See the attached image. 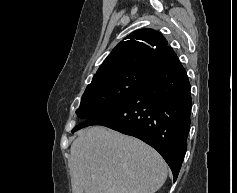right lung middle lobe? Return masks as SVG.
<instances>
[{"instance_id":"right-lung-middle-lobe-1","label":"right lung middle lobe","mask_w":237,"mask_h":193,"mask_svg":"<svg viewBox=\"0 0 237 193\" xmlns=\"http://www.w3.org/2000/svg\"><path fill=\"white\" fill-rule=\"evenodd\" d=\"M145 73H127L89 84L76 114L91 119L111 111L125 102L141 85Z\"/></svg>"}]
</instances>
